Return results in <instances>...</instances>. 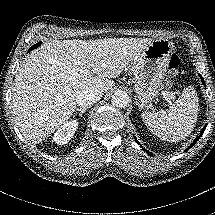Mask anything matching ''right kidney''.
Masks as SVG:
<instances>
[{
	"label": "right kidney",
	"instance_id": "ca27d5eb",
	"mask_svg": "<svg viewBox=\"0 0 215 215\" xmlns=\"http://www.w3.org/2000/svg\"><path fill=\"white\" fill-rule=\"evenodd\" d=\"M78 124L77 120H71L58 127L52 137L53 142L58 145L67 144L73 138Z\"/></svg>",
	"mask_w": 215,
	"mask_h": 215
}]
</instances>
